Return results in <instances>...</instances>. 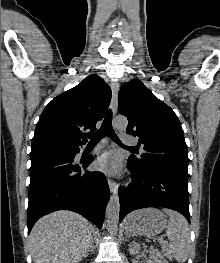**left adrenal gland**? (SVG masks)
<instances>
[{
  "label": "left adrenal gland",
  "instance_id": "1",
  "mask_svg": "<svg viewBox=\"0 0 220 263\" xmlns=\"http://www.w3.org/2000/svg\"><path fill=\"white\" fill-rule=\"evenodd\" d=\"M125 235H126V238H127V239L130 237V234L128 233L127 230L125 231Z\"/></svg>",
  "mask_w": 220,
  "mask_h": 263
}]
</instances>
